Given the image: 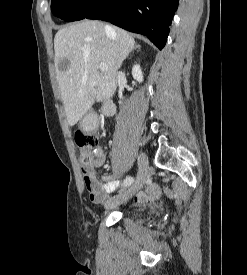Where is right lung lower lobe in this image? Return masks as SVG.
<instances>
[{"instance_id": "98d812e1", "label": "right lung lower lobe", "mask_w": 247, "mask_h": 275, "mask_svg": "<svg viewBox=\"0 0 247 275\" xmlns=\"http://www.w3.org/2000/svg\"><path fill=\"white\" fill-rule=\"evenodd\" d=\"M179 0H105L85 18L111 22L146 35L159 49L165 46Z\"/></svg>"}]
</instances>
